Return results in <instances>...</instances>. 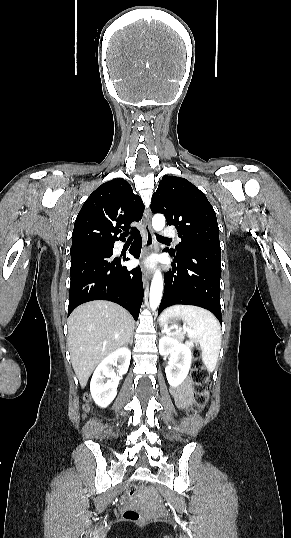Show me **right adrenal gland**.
Returning <instances> with one entry per match:
<instances>
[{"label": "right adrenal gland", "mask_w": 291, "mask_h": 538, "mask_svg": "<svg viewBox=\"0 0 291 538\" xmlns=\"http://www.w3.org/2000/svg\"><path fill=\"white\" fill-rule=\"evenodd\" d=\"M128 343H129L130 345H132V343H133V335L131 336V338H130V340H129Z\"/></svg>", "instance_id": "2a0ac1e0"}]
</instances>
